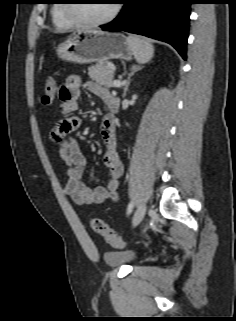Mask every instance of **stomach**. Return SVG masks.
Segmentation results:
<instances>
[{
	"label": "stomach",
	"mask_w": 236,
	"mask_h": 321,
	"mask_svg": "<svg viewBox=\"0 0 236 321\" xmlns=\"http://www.w3.org/2000/svg\"><path fill=\"white\" fill-rule=\"evenodd\" d=\"M56 52L62 60L78 64L127 60L133 55L132 46L124 35L102 31L74 33L57 47Z\"/></svg>",
	"instance_id": "stomach-1"
}]
</instances>
